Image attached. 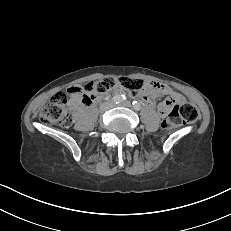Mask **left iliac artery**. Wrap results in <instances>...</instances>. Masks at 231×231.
I'll return each instance as SVG.
<instances>
[{
  "instance_id": "obj_1",
  "label": "left iliac artery",
  "mask_w": 231,
  "mask_h": 231,
  "mask_svg": "<svg viewBox=\"0 0 231 231\" xmlns=\"http://www.w3.org/2000/svg\"><path fill=\"white\" fill-rule=\"evenodd\" d=\"M132 105H133V108H134L135 110H140V108H141L140 103L137 102V101H133V102H132Z\"/></svg>"
}]
</instances>
